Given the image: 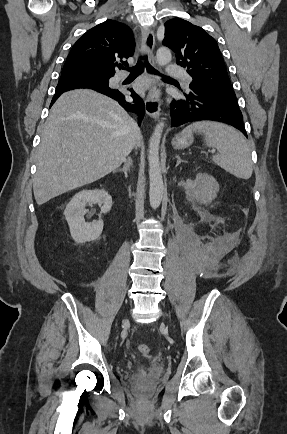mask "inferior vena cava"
<instances>
[{
  "mask_svg": "<svg viewBox=\"0 0 287 434\" xmlns=\"http://www.w3.org/2000/svg\"><path fill=\"white\" fill-rule=\"evenodd\" d=\"M135 137H136L135 147H137V146H139V142H140V139H141V133H140V129L139 128L136 129Z\"/></svg>",
  "mask_w": 287,
  "mask_h": 434,
  "instance_id": "inferior-vena-cava-1",
  "label": "inferior vena cava"
}]
</instances>
